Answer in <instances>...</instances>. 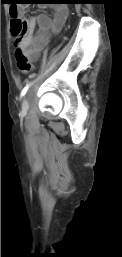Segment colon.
<instances>
[{"instance_id": "5ec220e1", "label": "colon", "mask_w": 122, "mask_h": 257, "mask_svg": "<svg viewBox=\"0 0 122 257\" xmlns=\"http://www.w3.org/2000/svg\"><path fill=\"white\" fill-rule=\"evenodd\" d=\"M9 9L11 16V32L17 40H20L27 28V23L22 17L21 10H28V5H10ZM14 57L17 68L21 72L28 73L32 70V64L19 48L16 49Z\"/></svg>"}]
</instances>
